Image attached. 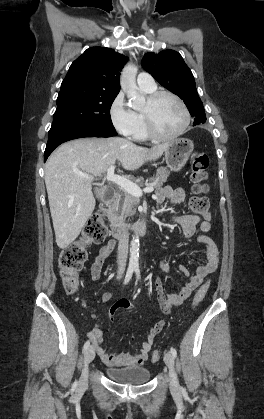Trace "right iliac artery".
I'll return each instance as SVG.
<instances>
[{
  "label": "right iliac artery",
  "mask_w": 264,
  "mask_h": 419,
  "mask_svg": "<svg viewBox=\"0 0 264 419\" xmlns=\"http://www.w3.org/2000/svg\"><path fill=\"white\" fill-rule=\"evenodd\" d=\"M133 271H134L133 267L128 268L126 276H125L124 284H127L130 281V279L132 277V274H133ZM89 346H90V341L88 340V341L85 342V344L83 346V351H86Z\"/></svg>",
  "instance_id": "1"
}]
</instances>
